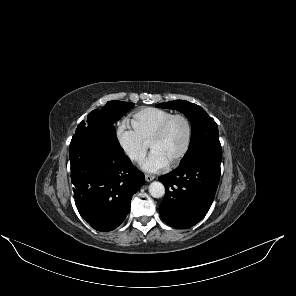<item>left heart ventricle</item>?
I'll return each instance as SVG.
<instances>
[{
    "label": "left heart ventricle",
    "instance_id": "left-heart-ventricle-1",
    "mask_svg": "<svg viewBox=\"0 0 296 296\" xmlns=\"http://www.w3.org/2000/svg\"><path fill=\"white\" fill-rule=\"evenodd\" d=\"M186 139V123L180 118L175 119L168 128L165 137L153 146L152 151L159 152L171 163L183 150Z\"/></svg>",
    "mask_w": 296,
    "mask_h": 296
}]
</instances>
